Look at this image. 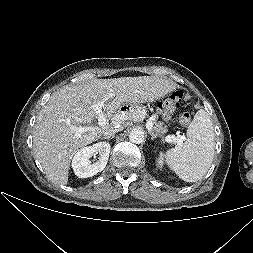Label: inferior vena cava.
<instances>
[{
	"instance_id": "1",
	"label": "inferior vena cava",
	"mask_w": 253,
	"mask_h": 253,
	"mask_svg": "<svg viewBox=\"0 0 253 253\" xmlns=\"http://www.w3.org/2000/svg\"><path fill=\"white\" fill-rule=\"evenodd\" d=\"M119 131H121V129H112V130H110V131L105 132V133H104V136H105V137H109V136H112V135H114L116 132H119Z\"/></svg>"
}]
</instances>
